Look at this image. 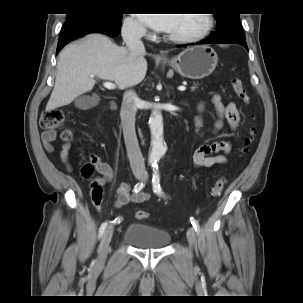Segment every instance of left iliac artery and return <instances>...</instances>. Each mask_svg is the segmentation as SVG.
<instances>
[{"label": "left iliac artery", "instance_id": "44dca946", "mask_svg": "<svg viewBox=\"0 0 303 303\" xmlns=\"http://www.w3.org/2000/svg\"><path fill=\"white\" fill-rule=\"evenodd\" d=\"M152 186H153L154 193H156L159 196H162L163 192H162V188L160 186V175H159V171H158V166H155L153 169ZM190 222H191L192 226L194 227L195 231L197 233H199L200 227H199L198 221L195 218L191 217Z\"/></svg>", "mask_w": 303, "mask_h": 303}]
</instances>
